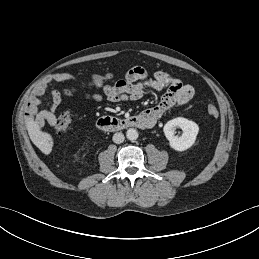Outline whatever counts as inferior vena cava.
<instances>
[{"instance_id": "602c4592", "label": "inferior vena cava", "mask_w": 259, "mask_h": 259, "mask_svg": "<svg viewBox=\"0 0 259 259\" xmlns=\"http://www.w3.org/2000/svg\"><path fill=\"white\" fill-rule=\"evenodd\" d=\"M125 137L122 133H115L113 135V142L116 144H120L124 141Z\"/></svg>"}]
</instances>
